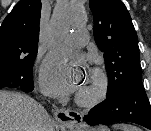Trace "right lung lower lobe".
Returning <instances> with one entry per match:
<instances>
[{
  "mask_svg": "<svg viewBox=\"0 0 151 131\" xmlns=\"http://www.w3.org/2000/svg\"><path fill=\"white\" fill-rule=\"evenodd\" d=\"M7 85L8 81L4 78H0V89L8 88ZM19 88H21L24 92H31L34 88L33 76L28 79H23Z\"/></svg>",
  "mask_w": 151,
  "mask_h": 131,
  "instance_id": "obj_1",
  "label": "right lung lower lobe"
}]
</instances>
